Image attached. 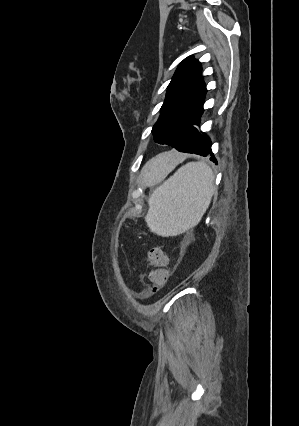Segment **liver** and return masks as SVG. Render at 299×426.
Listing matches in <instances>:
<instances>
[{
  "label": "liver",
  "mask_w": 299,
  "mask_h": 426,
  "mask_svg": "<svg viewBox=\"0 0 299 426\" xmlns=\"http://www.w3.org/2000/svg\"><path fill=\"white\" fill-rule=\"evenodd\" d=\"M162 158V156H158L156 159H153L150 163H148V167L152 164L154 161H159Z\"/></svg>",
  "instance_id": "6515ba94"
}]
</instances>
